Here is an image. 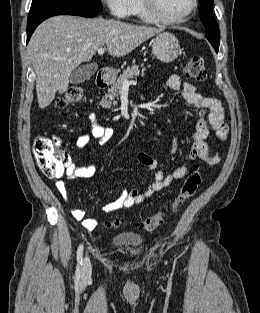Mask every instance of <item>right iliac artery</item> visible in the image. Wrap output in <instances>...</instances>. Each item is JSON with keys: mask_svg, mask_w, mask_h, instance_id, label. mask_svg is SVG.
I'll list each match as a JSON object with an SVG mask.
<instances>
[{"mask_svg": "<svg viewBox=\"0 0 260 313\" xmlns=\"http://www.w3.org/2000/svg\"><path fill=\"white\" fill-rule=\"evenodd\" d=\"M83 245L81 244L77 250V266L75 272V279L79 280L81 276V269H82V261H83Z\"/></svg>", "mask_w": 260, "mask_h": 313, "instance_id": "82829eb1", "label": "right iliac artery"}]
</instances>
